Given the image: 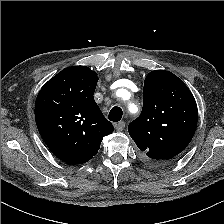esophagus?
Wrapping results in <instances>:
<instances>
[{
  "label": "esophagus",
  "mask_w": 224,
  "mask_h": 224,
  "mask_svg": "<svg viewBox=\"0 0 224 224\" xmlns=\"http://www.w3.org/2000/svg\"><path fill=\"white\" fill-rule=\"evenodd\" d=\"M115 128L117 131H122L125 128V122L120 121L117 124H115Z\"/></svg>",
  "instance_id": "34e87169"
}]
</instances>
